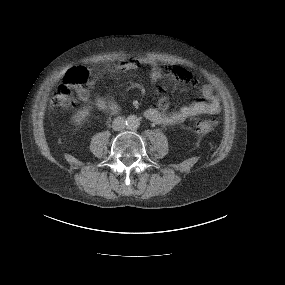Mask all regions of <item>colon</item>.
<instances>
[{
  "label": "colon",
  "mask_w": 285,
  "mask_h": 285,
  "mask_svg": "<svg viewBox=\"0 0 285 285\" xmlns=\"http://www.w3.org/2000/svg\"><path fill=\"white\" fill-rule=\"evenodd\" d=\"M122 64H131L136 66L138 61L136 59L123 60ZM172 71L180 78V75H186L187 71L180 66H173ZM89 81V71L83 66L75 67L68 71L65 76V81L58 89L53 93L51 97V107L55 110H62L70 108L74 105L73 89L82 87ZM214 126V122L200 120L196 123V130L199 134L209 133Z\"/></svg>",
  "instance_id": "obj_1"
}]
</instances>
